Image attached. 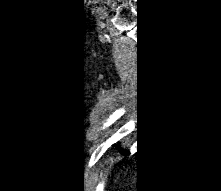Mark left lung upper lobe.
<instances>
[{"instance_id":"5c2ea615","label":"left lung upper lobe","mask_w":221,"mask_h":191,"mask_svg":"<svg viewBox=\"0 0 221 191\" xmlns=\"http://www.w3.org/2000/svg\"><path fill=\"white\" fill-rule=\"evenodd\" d=\"M129 140L126 138V139H122L121 142L119 144H117V148H121V146H126L129 142Z\"/></svg>"}]
</instances>
